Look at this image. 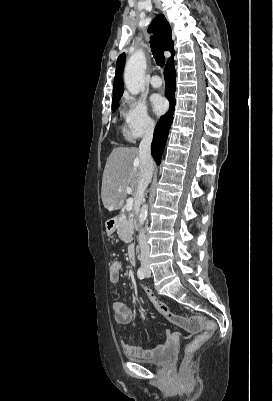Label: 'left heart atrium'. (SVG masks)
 Returning <instances> with one entry per match:
<instances>
[{
    "instance_id": "1",
    "label": "left heart atrium",
    "mask_w": 273,
    "mask_h": 401,
    "mask_svg": "<svg viewBox=\"0 0 273 401\" xmlns=\"http://www.w3.org/2000/svg\"><path fill=\"white\" fill-rule=\"evenodd\" d=\"M150 103L153 111L158 115L163 114L168 109L167 101L159 95H153L150 98Z\"/></svg>"
}]
</instances>
